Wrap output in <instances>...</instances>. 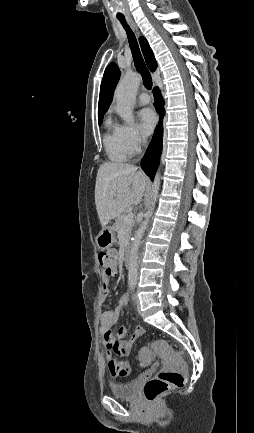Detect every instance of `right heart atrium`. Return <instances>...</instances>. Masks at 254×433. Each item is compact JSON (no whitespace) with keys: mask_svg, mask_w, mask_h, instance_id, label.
I'll list each match as a JSON object with an SVG mask.
<instances>
[{"mask_svg":"<svg viewBox=\"0 0 254 433\" xmlns=\"http://www.w3.org/2000/svg\"><path fill=\"white\" fill-rule=\"evenodd\" d=\"M121 132L124 143L130 154L138 153L145 142V137L141 134L137 126L133 124L123 125L121 126Z\"/></svg>","mask_w":254,"mask_h":433,"instance_id":"obj_1","label":"right heart atrium"}]
</instances>
